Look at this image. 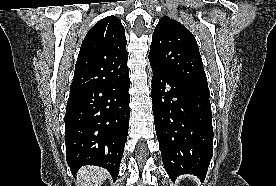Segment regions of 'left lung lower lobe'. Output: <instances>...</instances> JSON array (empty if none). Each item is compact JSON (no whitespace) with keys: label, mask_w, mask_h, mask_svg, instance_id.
<instances>
[{"label":"left lung lower lobe","mask_w":276,"mask_h":186,"mask_svg":"<svg viewBox=\"0 0 276 186\" xmlns=\"http://www.w3.org/2000/svg\"><path fill=\"white\" fill-rule=\"evenodd\" d=\"M152 103L155 129L168 175L205 179L213 155L208 87L191 84L154 68Z\"/></svg>","instance_id":"1"}]
</instances>
